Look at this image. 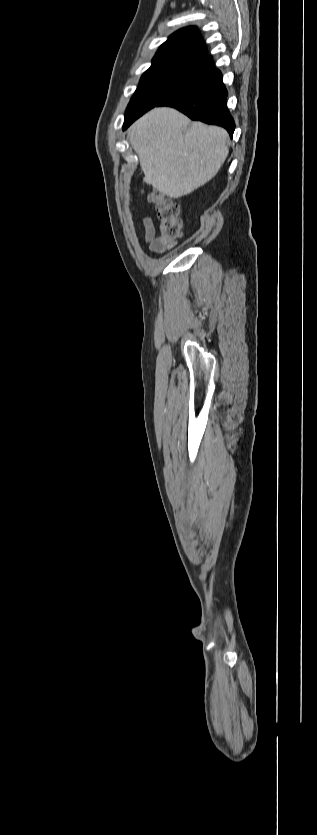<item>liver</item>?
<instances>
[{
	"label": "liver",
	"instance_id": "6515ba94",
	"mask_svg": "<svg viewBox=\"0 0 317 835\" xmlns=\"http://www.w3.org/2000/svg\"><path fill=\"white\" fill-rule=\"evenodd\" d=\"M145 182L170 198H179L210 181L225 162L228 133L217 126L191 123L173 108L157 107L130 128Z\"/></svg>",
	"mask_w": 317,
	"mask_h": 835
}]
</instances>
